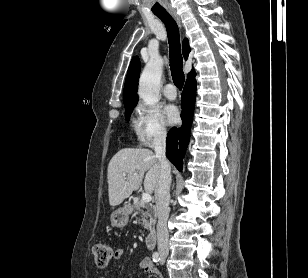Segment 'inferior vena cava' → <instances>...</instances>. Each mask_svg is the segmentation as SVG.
I'll return each mask as SVG.
<instances>
[{"mask_svg": "<svg viewBox=\"0 0 308 278\" xmlns=\"http://www.w3.org/2000/svg\"><path fill=\"white\" fill-rule=\"evenodd\" d=\"M166 130L162 129L154 137L153 147L156 158L160 163V178L155 188V201L157 207V242L159 253L167 254L168 249V229L167 221L169 217L170 185L172 181L171 167L166 158Z\"/></svg>", "mask_w": 308, "mask_h": 278, "instance_id": "inferior-vena-cava-1", "label": "inferior vena cava"}]
</instances>
